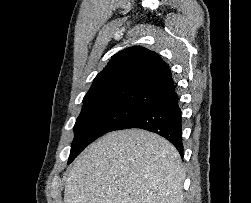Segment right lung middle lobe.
Instances as JSON below:
<instances>
[{"mask_svg":"<svg viewBox=\"0 0 251 203\" xmlns=\"http://www.w3.org/2000/svg\"><path fill=\"white\" fill-rule=\"evenodd\" d=\"M139 110L141 108L137 106L122 104L83 106L74 126L75 136L68 164L92 141L113 131L117 125Z\"/></svg>","mask_w":251,"mask_h":203,"instance_id":"dd1d6c3e","label":"right lung middle lobe"}]
</instances>
